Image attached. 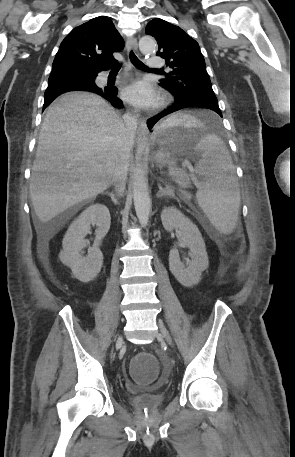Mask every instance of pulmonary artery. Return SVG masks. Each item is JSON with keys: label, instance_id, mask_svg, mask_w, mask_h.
<instances>
[{"label": "pulmonary artery", "instance_id": "pulmonary-artery-1", "mask_svg": "<svg viewBox=\"0 0 295 457\" xmlns=\"http://www.w3.org/2000/svg\"><path fill=\"white\" fill-rule=\"evenodd\" d=\"M147 65L149 68L156 70L163 66V61L160 57L151 56L147 60Z\"/></svg>", "mask_w": 295, "mask_h": 457}]
</instances>
